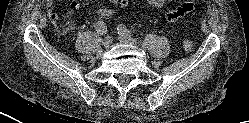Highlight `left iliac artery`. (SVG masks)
Masks as SVG:
<instances>
[{
    "mask_svg": "<svg viewBox=\"0 0 249 123\" xmlns=\"http://www.w3.org/2000/svg\"><path fill=\"white\" fill-rule=\"evenodd\" d=\"M118 33H122V34H125L127 36H132V33L131 31L125 26V25H119L118 28Z\"/></svg>",
    "mask_w": 249,
    "mask_h": 123,
    "instance_id": "1",
    "label": "left iliac artery"
}]
</instances>
